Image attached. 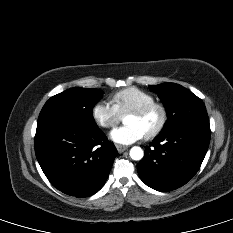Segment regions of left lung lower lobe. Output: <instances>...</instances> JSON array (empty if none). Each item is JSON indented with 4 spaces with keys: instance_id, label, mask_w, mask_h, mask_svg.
<instances>
[{
    "instance_id": "left-lung-lower-lobe-1",
    "label": "left lung lower lobe",
    "mask_w": 233,
    "mask_h": 233,
    "mask_svg": "<svg viewBox=\"0 0 233 233\" xmlns=\"http://www.w3.org/2000/svg\"><path fill=\"white\" fill-rule=\"evenodd\" d=\"M210 136L209 122L201 121L160 133L137 166L141 180L161 192L183 186L199 170Z\"/></svg>"
}]
</instances>
